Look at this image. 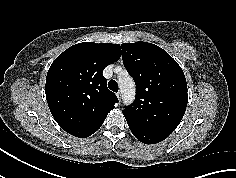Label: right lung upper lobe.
I'll list each match as a JSON object with an SVG mask.
<instances>
[{
	"mask_svg": "<svg viewBox=\"0 0 236 178\" xmlns=\"http://www.w3.org/2000/svg\"><path fill=\"white\" fill-rule=\"evenodd\" d=\"M120 57L119 44L83 42L54 60L47 73L45 93L49 109L63 130L85 138L101 127L118 102L102 72Z\"/></svg>",
	"mask_w": 236,
	"mask_h": 178,
	"instance_id": "cb5924a9",
	"label": "right lung upper lobe"
}]
</instances>
